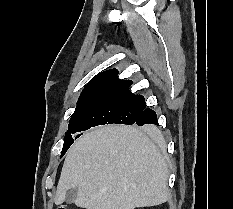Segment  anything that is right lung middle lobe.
I'll return each instance as SVG.
<instances>
[{
  "instance_id": "1",
  "label": "right lung middle lobe",
  "mask_w": 233,
  "mask_h": 209,
  "mask_svg": "<svg viewBox=\"0 0 233 209\" xmlns=\"http://www.w3.org/2000/svg\"><path fill=\"white\" fill-rule=\"evenodd\" d=\"M145 107L144 103L123 102H100L76 107L69 122V130L65 134L61 157L72 145L74 139L81 136V134L74 135L75 133L104 124H134ZM144 128L148 130V127Z\"/></svg>"
}]
</instances>
